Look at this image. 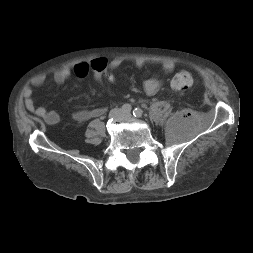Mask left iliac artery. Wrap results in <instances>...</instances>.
I'll return each mask as SVG.
<instances>
[{
    "label": "left iliac artery",
    "instance_id": "left-iliac-artery-1",
    "mask_svg": "<svg viewBox=\"0 0 253 253\" xmlns=\"http://www.w3.org/2000/svg\"><path fill=\"white\" fill-rule=\"evenodd\" d=\"M134 117L140 118L143 115V111L140 108H135L133 110Z\"/></svg>",
    "mask_w": 253,
    "mask_h": 253
}]
</instances>
